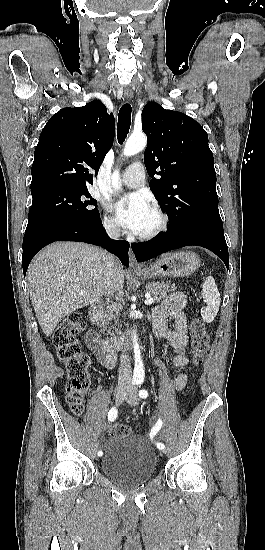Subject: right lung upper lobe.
I'll return each instance as SVG.
<instances>
[{
	"mask_svg": "<svg viewBox=\"0 0 265 550\" xmlns=\"http://www.w3.org/2000/svg\"><path fill=\"white\" fill-rule=\"evenodd\" d=\"M115 120L94 100L83 107L63 108L43 128L34 152L31 189L57 186L87 190L89 169L98 172L114 140Z\"/></svg>",
	"mask_w": 265,
	"mask_h": 550,
	"instance_id": "right-lung-upper-lobe-1",
	"label": "right lung upper lobe"
}]
</instances>
